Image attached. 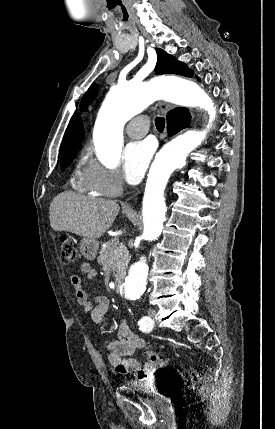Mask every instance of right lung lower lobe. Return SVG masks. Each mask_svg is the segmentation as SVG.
Wrapping results in <instances>:
<instances>
[{"instance_id":"1","label":"right lung lower lobe","mask_w":275,"mask_h":429,"mask_svg":"<svg viewBox=\"0 0 275 429\" xmlns=\"http://www.w3.org/2000/svg\"><path fill=\"white\" fill-rule=\"evenodd\" d=\"M170 134H175L190 124L191 116L187 109L176 108L167 115Z\"/></svg>"}]
</instances>
